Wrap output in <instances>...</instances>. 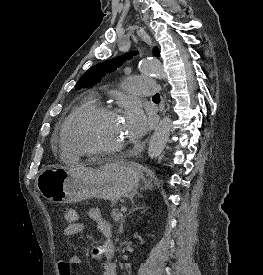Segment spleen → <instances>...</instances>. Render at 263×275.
Here are the masks:
<instances>
[{
  "instance_id": "3e777b00",
  "label": "spleen",
  "mask_w": 263,
  "mask_h": 275,
  "mask_svg": "<svg viewBox=\"0 0 263 275\" xmlns=\"http://www.w3.org/2000/svg\"><path fill=\"white\" fill-rule=\"evenodd\" d=\"M134 167H136V168L140 169V166H136V165H134Z\"/></svg>"
}]
</instances>
